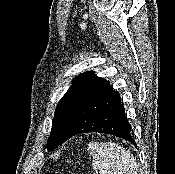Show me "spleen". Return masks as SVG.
Listing matches in <instances>:
<instances>
[{"instance_id":"obj_1","label":"spleen","mask_w":175,"mask_h":174,"mask_svg":"<svg viewBox=\"0 0 175 174\" xmlns=\"http://www.w3.org/2000/svg\"><path fill=\"white\" fill-rule=\"evenodd\" d=\"M92 168L100 174H137V163L130 151L119 144L92 142L88 145Z\"/></svg>"}]
</instances>
